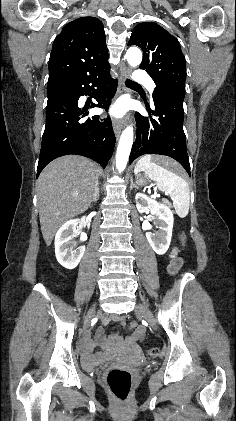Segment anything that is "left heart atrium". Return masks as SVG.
Wrapping results in <instances>:
<instances>
[{"mask_svg": "<svg viewBox=\"0 0 236 421\" xmlns=\"http://www.w3.org/2000/svg\"><path fill=\"white\" fill-rule=\"evenodd\" d=\"M125 114V107L123 105H115L111 109V115L114 117H122Z\"/></svg>", "mask_w": 236, "mask_h": 421, "instance_id": "left-heart-atrium-1", "label": "left heart atrium"}]
</instances>
